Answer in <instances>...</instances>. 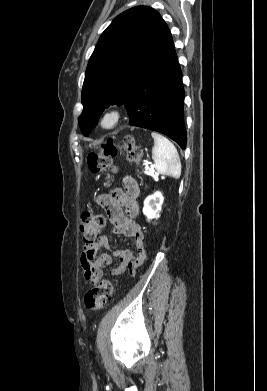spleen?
Instances as JSON below:
<instances>
[{
    "instance_id": "1",
    "label": "spleen",
    "mask_w": 267,
    "mask_h": 391,
    "mask_svg": "<svg viewBox=\"0 0 267 391\" xmlns=\"http://www.w3.org/2000/svg\"><path fill=\"white\" fill-rule=\"evenodd\" d=\"M154 146L152 148V158L155 169L167 176L175 179L181 176V162L176 147L163 135L152 132Z\"/></svg>"
}]
</instances>
